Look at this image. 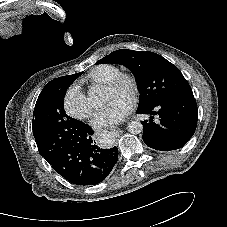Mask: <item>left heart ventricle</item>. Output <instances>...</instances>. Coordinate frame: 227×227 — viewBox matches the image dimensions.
<instances>
[{"label": "left heart ventricle", "instance_id": "b2bd125f", "mask_svg": "<svg viewBox=\"0 0 227 227\" xmlns=\"http://www.w3.org/2000/svg\"><path fill=\"white\" fill-rule=\"evenodd\" d=\"M105 99L110 102L116 98H129V91L126 85H121L117 88H105Z\"/></svg>", "mask_w": 227, "mask_h": 227}]
</instances>
